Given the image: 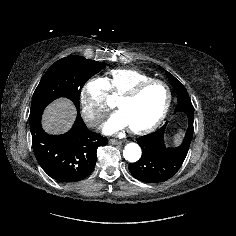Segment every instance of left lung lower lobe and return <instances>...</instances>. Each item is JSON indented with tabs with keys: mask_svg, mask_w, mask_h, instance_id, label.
<instances>
[{
	"mask_svg": "<svg viewBox=\"0 0 236 236\" xmlns=\"http://www.w3.org/2000/svg\"><path fill=\"white\" fill-rule=\"evenodd\" d=\"M193 111L191 101H183L175 109V112H183L188 117V129L182 144L178 147H167L164 143L167 123L157 131L136 139L142 149V156L139 161L129 164V171L136 179L146 183H159L177 173L192 140Z\"/></svg>",
	"mask_w": 236,
	"mask_h": 236,
	"instance_id": "left-lung-lower-lobe-1",
	"label": "left lung lower lobe"
}]
</instances>
